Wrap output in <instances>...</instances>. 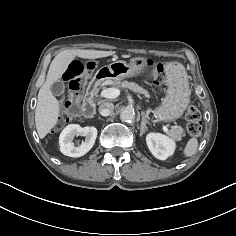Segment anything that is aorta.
Wrapping results in <instances>:
<instances>
[{"label":"aorta","mask_w":236,"mask_h":236,"mask_svg":"<svg viewBox=\"0 0 236 236\" xmlns=\"http://www.w3.org/2000/svg\"><path fill=\"white\" fill-rule=\"evenodd\" d=\"M134 118H135V113L134 110H132L131 108H125L120 113V119L123 122H131L134 120Z\"/></svg>","instance_id":"aorta-1"}]
</instances>
